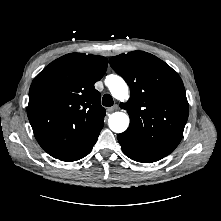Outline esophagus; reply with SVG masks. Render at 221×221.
Wrapping results in <instances>:
<instances>
[{"mask_svg":"<svg viewBox=\"0 0 221 221\" xmlns=\"http://www.w3.org/2000/svg\"><path fill=\"white\" fill-rule=\"evenodd\" d=\"M118 108H119L118 105H114L112 107H109L107 109V111L111 113V112H114V111L118 110Z\"/></svg>","mask_w":221,"mask_h":221,"instance_id":"34e87169","label":"esophagus"}]
</instances>
